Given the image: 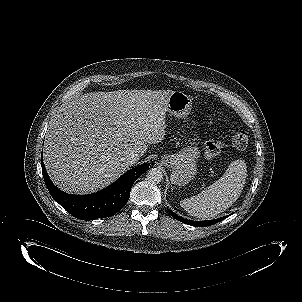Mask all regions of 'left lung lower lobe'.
<instances>
[{
	"mask_svg": "<svg viewBox=\"0 0 302 302\" xmlns=\"http://www.w3.org/2000/svg\"><path fill=\"white\" fill-rule=\"evenodd\" d=\"M168 211H169L170 215L172 217H174L175 219H177V220H179L183 223H186L188 225L197 226V227H205V226H208V225H213V224L223 220L224 218H226V217H222V218H219V219H216V220H208V221H190V220L179 217L178 215L174 214L170 210H168Z\"/></svg>",
	"mask_w": 302,
	"mask_h": 302,
	"instance_id": "obj_1",
	"label": "left lung lower lobe"
}]
</instances>
